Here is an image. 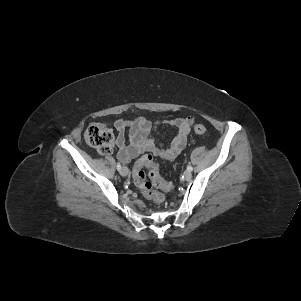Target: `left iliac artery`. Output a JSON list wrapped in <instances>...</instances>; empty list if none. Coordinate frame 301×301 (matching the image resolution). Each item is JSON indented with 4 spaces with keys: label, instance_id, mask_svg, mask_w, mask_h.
Returning a JSON list of instances; mask_svg holds the SVG:
<instances>
[{
    "label": "left iliac artery",
    "instance_id": "obj_1",
    "mask_svg": "<svg viewBox=\"0 0 301 301\" xmlns=\"http://www.w3.org/2000/svg\"><path fill=\"white\" fill-rule=\"evenodd\" d=\"M187 170H188V171H192V170H193V167L189 165V166H187Z\"/></svg>",
    "mask_w": 301,
    "mask_h": 301
}]
</instances>
